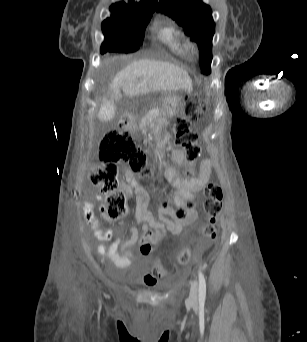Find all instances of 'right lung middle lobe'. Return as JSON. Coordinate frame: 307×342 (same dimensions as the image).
Returning a JSON list of instances; mask_svg holds the SVG:
<instances>
[{
  "mask_svg": "<svg viewBox=\"0 0 307 342\" xmlns=\"http://www.w3.org/2000/svg\"><path fill=\"white\" fill-rule=\"evenodd\" d=\"M104 34V33H103ZM100 52L130 53L139 49L143 35L104 34Z\"/></svg>",
  "mask_w": 307,
  "mask_h": 342,
  "instance_id": "obj_1",
  "label": "right lung middle lobe"
}]
</instances>
